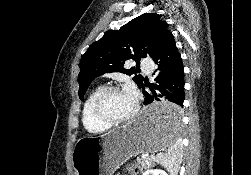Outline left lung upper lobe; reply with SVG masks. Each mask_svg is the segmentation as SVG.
Returning a JSON list of instances; mask_svg holds the SVG:
<instances>
[{
  "instance_id": "left-lung-upper-lobe-1",
  "label": "left lung upper lobe",
  "mask_w": 251,
  "mask_h": 175,
  "mask_svg": "<svg viewBox=\"0 0 251 175\" xmlns=\"http://www.w3.org/2000/svg\"><path fill=\"white\" fill-rule=\"evenodd\" d=\"M170 33L168 24L156 13H145L122 26L119 30H109L94 42L80 62L79 97L82 100L90 83L105 72L118 71L127 75L137 72L135 67L125 69L124 62L153 57L164 44ZM133 80L139 87L143 77L136 75Z\"/></svg>"
}]
</instances>
